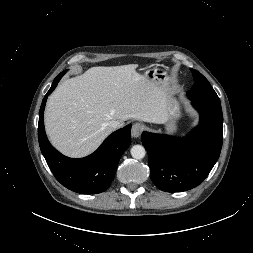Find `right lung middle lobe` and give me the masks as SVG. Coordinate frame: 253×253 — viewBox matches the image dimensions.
I'll return each mask as SVG.
<instances>
[{"mask_svg": "<svg viewBox=\"0 0 253 253\" xmlns=\"http://www.w3.org/2000/svg\"><path fill=\"white\" fill-rule=\"evenodd\" d=\"M64 73H65V71H64V72H62L61 74H63V75H64Z\"/></svg>", "mask_w": 253, "mask_h": 253, "instance_id": "dd1d6c3e", "label": "right lung middle lobe"}]
</instances>
